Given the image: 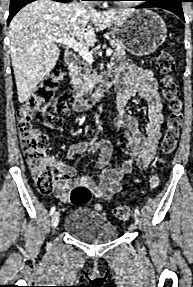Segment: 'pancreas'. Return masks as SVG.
<instances>
[{
  "label": "pancreas",
  "instance_id": "pancreas-1",
  "mask_svg": "<svg viewBox=\"0 0 193 287\" xmlns=\"http://www.w3.org/2000/svg\"><path fill=\"white\" fill-rule=\"evenodd\" d=\"M111 46L114 49L113 58L124 57L126 48L121 42L112 41ZM82 65L83 62H79L70 71L72 82L79 92L90 90L96 82L95 70L89 64Z\"/></svg>",
  "mask_w": 193,
  "mask_h": 287
}]
</instances>
